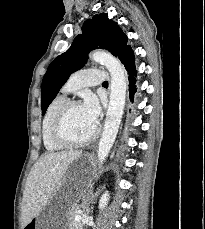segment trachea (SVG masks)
I'll return each instance as SVG.
<instances>
[{"mask_svg":"<svg viewBox=\"0 0 205 229\" xmlns=\"http://www.w3.org/2000/svg\"><path fill=\"white\" fill-rule=\"evenodd\" d=\"M103 84H108V82H107V81H105Z\"/></svg>","mask_w":205,"mask_h":229,"instance_id":"3493384b","label":"trachea"}]
</instances>
